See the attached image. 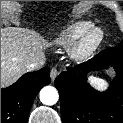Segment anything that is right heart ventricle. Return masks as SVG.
Wrapping results in <instances>:
<instances>
[{
  "label": "right heart ventricle",
  "instance_id": "1",
  "mask_svg": "<svg viewBox=\"0 0 123 123\" xmlns=\"http://www.w3.org/2000/svg\"><path fill=\"white\" fill-rule=\"evenodd\" d=\"M91 27H93V23L89 20H75L55 29L51 34V39L61 47H70Z\"/></svg>",
  "mask_w": 123,
  "mask_h": 123
}]
</instances>
